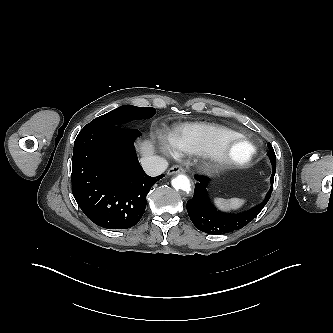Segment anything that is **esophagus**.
Instances as JSON below:
<instances>
[{"label": "esophagus", "mask_w": 333, "mask_h": 333, "mask_svg": "<svg viewBox=\"0 0 333 333\" xmlns=\"http://www.w3.org/2000/svg\"><path fill=\"white\" fill-rule=\"evenodd\" d=\"M184 173V169L180 165H174L167 171L168 175Z\"/></svg>", "instance_id": "34e87169"}]
</instances>
